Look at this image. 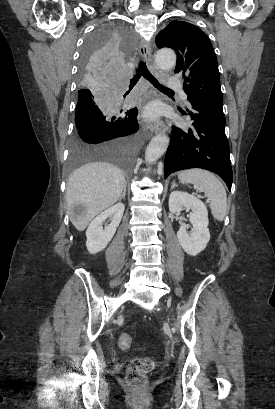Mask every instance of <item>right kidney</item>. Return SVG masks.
<instances>
[{
  "label": "right kidney",
  "instance_id": "1",
  "mask_svg": "<svg viewBox=\"0 0 275 409\" xmlns=\"http://www.w3.org/2000/svg\"><path fill=\"white\" fill-rule=\"evenodd\" d=\"M124 209L123 202H117V205H113V207H110V209L98 215V217L90 223L86 231V247L88 253L96 255V253L103 251V249L109 245L112 237H114L116 233L117 227H119ZM106 219H110L111 223L108 227L103 229L102 225Z\"/></svg>",
  "mask_w": 275,
  "mask_h": 409
}]
</instances>
